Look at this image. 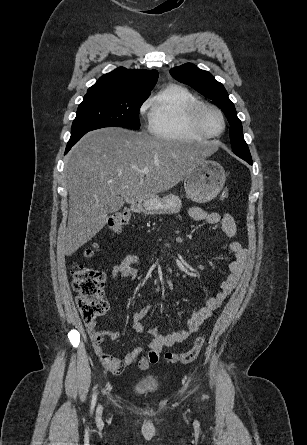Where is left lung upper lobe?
Instances as JSON below:
<instances>
[{
    "instance_id": "5c2ea615",
    "label": "left lung upper lobe",
    "mask_w": 307,
    "mask_h": 445,
    "mask_svg": "<svg viewBox=\"0 0 307 445\" xmlns=\"http://www.w3.org/2000/svg\"><path fill=\"white\" fill-rule=\"evenodd\" d=\"M170 74L176 80L191 86L205 97L211 99L224 112L231 125L230 140L233 152L237 156L250 158L248 146L243 138L242 123L237 117L234 104L228 98V93L224 86L216 81L209 72L200 70L190 63L171 69Z\"/></svg>"
}]
</instances>
